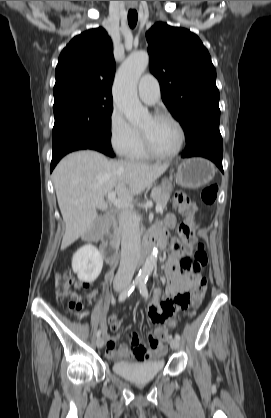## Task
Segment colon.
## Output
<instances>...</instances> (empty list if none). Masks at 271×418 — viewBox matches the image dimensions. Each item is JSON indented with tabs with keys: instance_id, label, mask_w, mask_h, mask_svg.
<instances>
[{
	"instance_id": "5ec220e1",
	"label": "colon",
	"mask_w": 271,
	"mask_h": 418,
	"mask_svg": "<svg viewBox=\"0 0 271 418\" xmlns=\"http://www.w3.org/2000/svg\"><path fill=\"white\" fill-rule=\"evenodd\" d=\"M218 195V187L215 184H210L204 187L201 191V199L203 203L212 205L215 203ZM174 204L179 213L185 217V222L180 226V231L183 236L190 240L192 238L193 223L192 219L197 211L196 204L184 192H178L174 198ZM176 249H180L179 245H175ZM208 261L207 254L204 250V245L198 243L193 257H183L180 261V267L183 272L192 274L197 279L195 289V305H197L205 293L206 279L200 276L202 269L206 266ZM72 279L67 275H60L57 278V296L64 301L68 307L79 312L83 305L79 296L71 290ZM185 303V301H183Z\"/></svg>"
}]
</instances>
